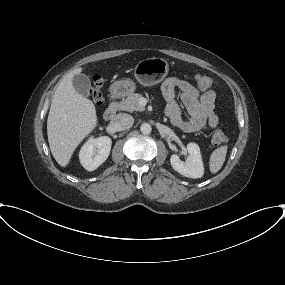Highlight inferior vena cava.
Returning a JSON list of instances; mask_svg holds the SVG:
<instances>
[{
    "mask_svg": "<svg viewBox=\"0 0 285 285\" xmlns=\"http://www.w3.org/2000/svg\"><path fill=\"white\" fill-rule=\"evenodd\" d=\"M134 123V118L126 113L117 114L111 121V126L116 131H123L129 129Z\"/></svg>",
    "mask_w": 285,
    "mask_h": 285,
    "instance_id": "inferior-vena-cava-1",
    "label": "inferior vena cava"
}]
</instances>
